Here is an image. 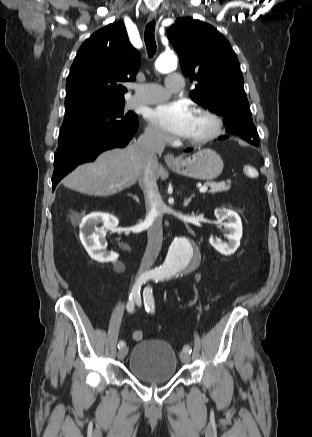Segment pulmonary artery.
<instances>
[{
	"label": "pulmonary artery",
	"instance_id": "e3ab8cb5",
	"mask_svg": "<svg viewBox=\"0 0 312 437\" xmlns=\"http://www.w3.org/2000/svg\"><path fill=\"white\" fill-rule=\"evenodd\" d=\"M184 86L183 77L174 73L166 77L165 86L158 84L139 85L134 88L131 105H146L161 102L173 92L181 90Z\"/></svg>",
	"mask_w": 312,
	"mask_h": 437
}]
</instances>
